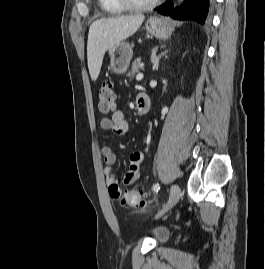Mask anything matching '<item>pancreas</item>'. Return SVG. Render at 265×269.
<instances>
[{
	"label": "pancreas",
	"instance_id": "1",
	"mask_svg": "<svg viewBox=\"0 0 265 269\" xmlns=\"http://www.w3.org/2000/svg\"><path fill=\"white\" fill-rule=\"evenodd\" d=\"M140 69H142V63L141 59L138 58L132 63L131 71L129 72L128 76L134 77V75L138 73Z\"/></svg>",
	"mask_w": 265,
	"mask_h": 269
}]
</instances>
